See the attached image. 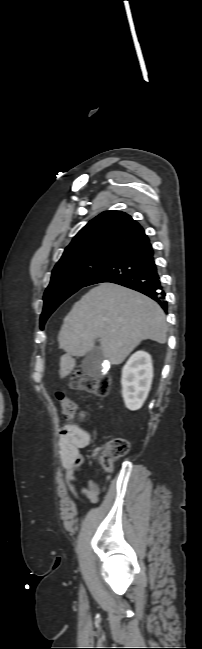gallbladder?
Wrapping results in <instances>:
<instances>
[{
	"label": "gallbladder",
	"mask_w": 202,
	"mask_h": 649,
	"mask_svg": "<svg viewBox=\"0 0 202 649\" xmlns=\"http://www.w3.org/2000/svg\"><path fill=\"white\" fill-rule=\"evenodd\" d=\"M103 359L104 356L101 347L95 345L93 349L85 355L81 368L90 377L99 376L103 369Z\"/></svg>",
	"instance_id": "obj_1"
}]
</instances>
